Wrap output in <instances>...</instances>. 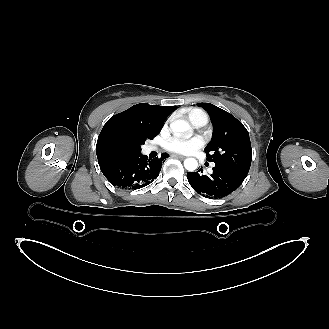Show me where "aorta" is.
I'll list each match as a JSON object with an SVG mask.
<instances>
[{"label":"aorta","mask_w":329,"mask_h":329,"mask_svg":"<svg viewBox=\"0 0 329 329\" xmlns=\"http://www.w3.org/2000/svg\"><path fill=\"white\" fill-rule=\"evenodd\" d=\"M170 128L174 133H184L187 132V136L190 137L192 135V130L190 125L185 120H176L170 124ZM184 167L189 172H193L198 167V162L195 158H187L184 161Z\"/></svg>","instance_id":"aorta-1"}]
</instances>
